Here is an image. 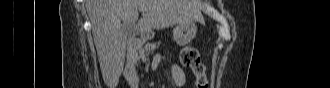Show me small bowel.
<instances>
[{"label":"small bowel","instance_id":"obj_1","mask_svg":"<svg viewBox=\"0 0 330 88\" xmlns=\"http://www.w3.org/2000/svg\"><path fill=\"white\" fill-rule=\"evenodd\" d=\"M171 77L172 81L177 87H183L185 84V73L183 69L178 65H173L171 67Z\"/></svg>","mask_w":330,"mask_h":88}]
</instances>
